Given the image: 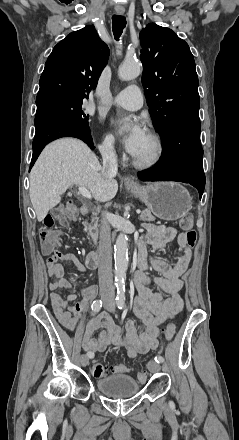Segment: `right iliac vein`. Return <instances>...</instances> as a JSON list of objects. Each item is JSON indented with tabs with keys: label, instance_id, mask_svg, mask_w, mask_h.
<instances>
[{
	"label": "right iliac vein",
	"instance_id": "right-iliac-vein-1",
	"mask_svg": "<svg viewBox=\"0 0 239 440\" xmlns=\"http://www.w3.org/2000/svg\"><path fill=\"white\" fill-rule=\"evenodd\" d=\"M80 363L82 366H87L89 363V357L87 355H81L80 357Z\"/></svg>",
	"mask_w": 239,
	"mask_h": 440
}]
</instances>
